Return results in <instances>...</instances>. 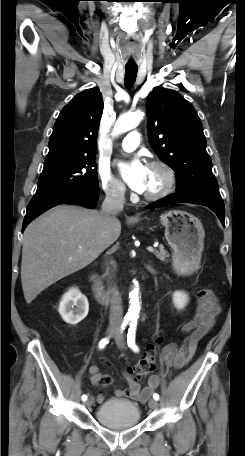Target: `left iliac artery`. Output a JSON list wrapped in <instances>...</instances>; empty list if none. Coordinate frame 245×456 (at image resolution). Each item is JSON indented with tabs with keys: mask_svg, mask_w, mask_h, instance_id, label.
Instances as JSON below:
<instances>
[{
	"mask_svg": "<svg viewBox=\"0 0 245 456\" xmlns=\"http://www.w3.org/2000/svg\"><path fill=\"white\" fill-rule=\"evenodd\" d=\"M135 337H136V321H132L130 323V327L128 329L127 344L134 352H138L139 348L135 343ZM153 398L155 400H159V395L157 393H154Z\"/></svg>",
	"mask_w": 245,
	"mask_h": 456,
	"instance_id": "left-iliac-artery-1",
	"label": "left iliac artery"
}]
</instances>
